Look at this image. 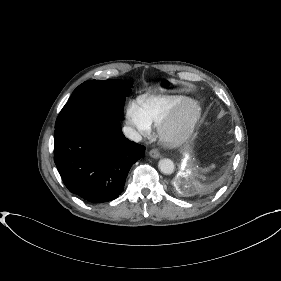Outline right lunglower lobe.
<instances>
[{"label":"right lung lower lobe","instance_id":"1","mask_svg":"<svg viewBox=\"0 0 281 281\" xmlns=\"http://www.w3.org/2000/svg\"><path fill=\"white\" fill-rule=\"evenodd\" d=\"M145 147L125 138L119 120L68 122L55 129L54 161L68 190L92 203L117 198Z\"/></svg>","mask_w":281,"mask_h":281}]
</instances>
